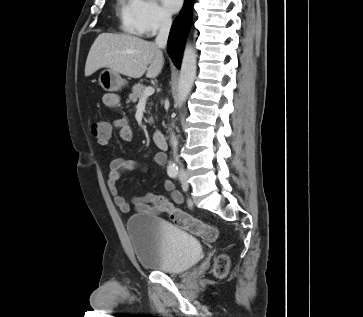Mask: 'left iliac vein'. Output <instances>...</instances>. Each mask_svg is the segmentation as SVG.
<instances>
[{
  "instance_id": "1",
  "label": "left iliac vein",
  "mask_w": 363,
  "mask_h": 317,
  "mask_svg": "<svg viewBox=\"0 0 363 317\" xmlns=\"http://www.w3.org/2000/svg\"><path fill=\"white\" fill-rule=\"evenodd\" d=\"M181 185H182V189L184 191H187L188 190L189 185H188V182L186 180L185 174H182V176H181Z\"/></svg>"
}]
</instances>
